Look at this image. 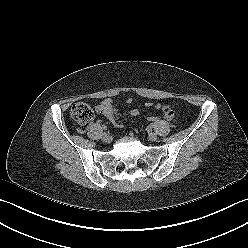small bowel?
I'll return each instance as SVG.
<instances>
[{
    "mask_svg": "<svg viewBox=\"0 0 248 248\" xmlns=\"http://www.w3.org/2000/svg\"><path fill=\"white\" fill-rule=\"evenodd\" d=\"M128 103L132 102V99H128ZM146 107H153L156 110H162L163 116L166 120H172L174 117V110L171 106L164 104H153L151 102L146 103ZM95 110L98 114L104 115L115 127L121 128L123 126V122L119 117L115 105L112 99L107 98L102 103L95 107ZM130 117H135L138 115L137 110H132L128 114Z\"/></svg>",
    "mask_w": 248,
    "mask_h": 248,
    "instance_id": "1",
    "label": "small bowel"
}]
</instances>
